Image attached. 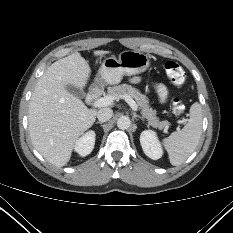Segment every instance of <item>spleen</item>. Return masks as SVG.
<instances>
[{
	"mask_svg": "<svg viewBox=\"0 0 233 233\" xmlns=\"http://www.w3.org/2000/svg\"><path fill=\"white\" fill-rule=\"evenodd\" d=\"M201 134L202 108L196 102L190 108V118L183 129L164 139L170 163L174 166L182 164L197 147Z\"/></svg>",
	"mask_w": 233,
	"mask_h": 233,
	"instance_id": "obj_1",
	"label": "spleen"
}]
</instances>
